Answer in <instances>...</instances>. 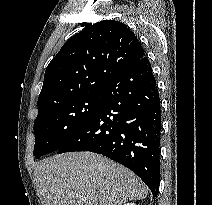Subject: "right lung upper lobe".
Wrapping results in <instances>:
<instances>
[{
    "label": "right lung upper lobe",
    "mask_w": 212,
    "mask_h": 205,
    "mask_svg": "<svg viewBox=\"0 0 212 205\" xmlns=\"http://www.w3.org/2000/svg\"><path fill=\"white\" fill-rule=\"evenodd\" d=\"M144 56L138 38L125 24L104 20L87 25L62 46L47 66L38 116L76 97L101 92Z\"/></svg>",
    "instance_id": "1"
}]
</instances>
